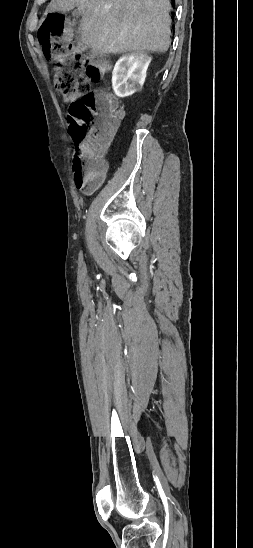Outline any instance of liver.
Segmentation results:
<instances>
[{
    "instance_id": "6515ba94",
    "label": "liver",
    "mask_w": 253,
    "mask_h": 548,
    "mask_svg": "<svg viewBox=\"0 0 253 548\" xmlns=\"http://www.w3.org/2000/svg\"><path fill=\"white\" fill-rule=\"evenodd\" d=\"M77 7L82 41L95 52H166L170 45L168 0H51L46 12Z\"/></svg>"
}]
</instances>
